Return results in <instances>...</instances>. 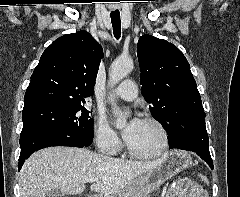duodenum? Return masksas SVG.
<instances>
[{
  "label": "duodenum",
  "mask_w": 240,
  "mask_h": 197,
  "mask_svg": "<svg viewBox=\"0 0 240 197\" xmlns=\"http://www.w3.org/2000/svg\"><path fill=\"white\" fill-rule=\"evenodd\" d=\"M90 197H114L112 195H103V196H90Z\"/></svg>",
  "instance_id": "obj_1"
}]
</instances>
